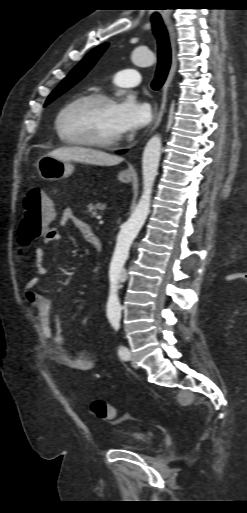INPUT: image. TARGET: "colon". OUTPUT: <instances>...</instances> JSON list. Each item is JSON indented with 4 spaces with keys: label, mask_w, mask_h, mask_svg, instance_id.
<instances>
[{
    "label": "colon",
    "mask_w": 247,
    "mask_h": 513,
    "mask_svg": "<svg viewBox=\"0 0 247 513\" xmlns=\"http://www.w3.org/2000/svg\"><path fill=\"white\" fill-rule=\"evenodd\" d=\"M54 201L40 188L29 190L23 199V215L18 229V241L26 246L39 238L55 218ZM92 412L100 419L110 420L115 417V409L106 401L96 399L91 403Z\"/></svg>",
    "instance_id": "colon-1"
}]
</instances>
